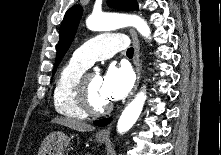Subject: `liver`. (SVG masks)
Here are the masks:
<instances>
[{
  "mask_svg": "<svg viewBox=\"0 0 221 155\" xmlns=\"http://www.w3.org/2000/svg\"><path fill=\"white\" fill-rule=\"evenodd\" d=\"M51 123H57L79 132L93 131L95 129L94 126H91L85 122L63 117L54 118Z\"/></svg>",
  "mask_w": 221,
  "mask_h": 155,
  "instance_id": "1",
  "label": "liver"
}]
</instances>
